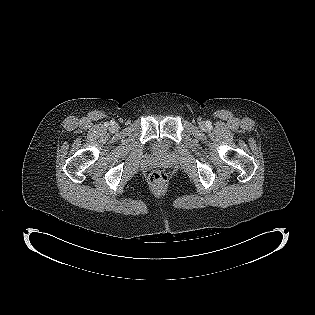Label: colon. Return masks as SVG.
I'll return each mask as SVG.
<instances>
[{
    "label": "colon",
    "mask_w": 315,
    "mask_h": 315,
    "mask_svg": "<svg viewBox=\"0 0 315 315\" xmlns=\"http://www.w3.org/2000/svg\"><path fill=\"white\" fill-rule=\"evenodd\" d=\"M149 181L153 186H164L169 181V174L165 170H154L149 176Z\"/></svg>",
    "instance_id": "5ec220e1"
}]
</instances>
